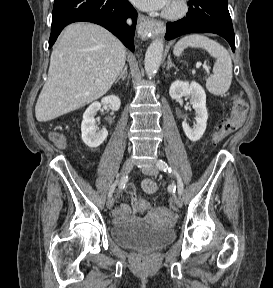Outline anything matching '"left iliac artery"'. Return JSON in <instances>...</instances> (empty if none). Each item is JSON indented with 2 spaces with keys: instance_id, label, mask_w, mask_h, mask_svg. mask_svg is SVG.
Here are the masks:
<instances>
[{
  "instance_id": "left-iliac-artery-1",
  "label": "left iliac artery",
  "mask_w": 273,
  "mask_h": 288,
  "mask_svg": "<svg viewBox=\"0 0 273 288\" xmlns=\"http://www.w3.org/2000/svg\"><path fill=\"white\" fill-rule=\"evenodd\" d=\"M156 166L158 167V169H160L161 171H164V172H173V174L176 176L177 178V188H178V194H182L183 193V189H184V186H183V182H182V179L181 177L179 176V174L175 171H172V169L168 166V164L165 162V161H162V160H159L156 164Z\"/></svg>"
}]
</instances>
